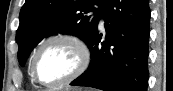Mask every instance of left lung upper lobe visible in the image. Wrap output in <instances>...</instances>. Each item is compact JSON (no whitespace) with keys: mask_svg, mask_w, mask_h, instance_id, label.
<instances>
[{"mask_svg":"<svg viewBox=\"0 0 173 91\" xmlns=\"http://www.w3.org/2000/svg\"><path fill=\"white\" fill-rule=\"evenodd\" d=\"M106 1L26 0L20 11L16 33L20 65L24 66L30 52L45 36L72 34L88 44L98 27L101 8Z\"/></svg>","mask_w":173,"mask_h":91,"instance_id":"5c2ea615","label":"left lung upper lobe"}]
</instances>
